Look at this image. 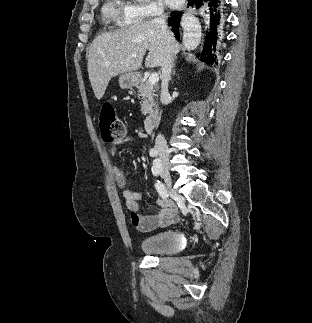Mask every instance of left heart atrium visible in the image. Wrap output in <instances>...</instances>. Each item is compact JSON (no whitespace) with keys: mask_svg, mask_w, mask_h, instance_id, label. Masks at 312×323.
I'll return each mask as SVG.
<instances>
[{"mask_svg":"<svg viewBox=\"0 0 312 323\" xmlns=\"http://www.w3.org/2000/svg\"><path fill=\"white\" fill-rule=\"evenodd\" d=\"M167 8H176L177 4H181V0H164Z\"/></svg>","mask_w":312,"mask_h":323,"instance_id":"39dd6f15","label":"left heart atrium"}]
</instances>
